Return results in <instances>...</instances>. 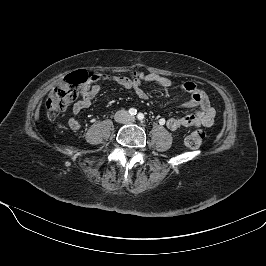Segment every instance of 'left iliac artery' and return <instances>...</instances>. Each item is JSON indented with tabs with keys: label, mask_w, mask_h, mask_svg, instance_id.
<instances>
[{
	"label": "left iliac artery",
	"mask_w": 266,
	"mask_h": 266,
	"mask_svg": "<svg viewBox=\"0 0 266 266\" xmlns=\"http://www.w3.org/2000/svg\"><path fill=\"white\" fill-rule=\"evenodd\" d=\"M138 120L142 121L144 119V115L142 113H139L137 115Z\"/></svg>",
	"instance_id": "1"
}]
</instances>
